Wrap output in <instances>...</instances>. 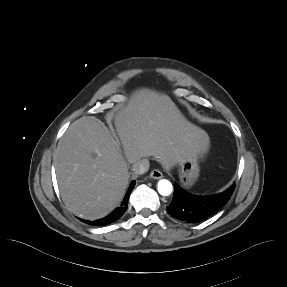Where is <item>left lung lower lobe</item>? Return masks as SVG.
<instances>
[{
  "mask_svg": "<svg viewBox=\"0 0 287 287\" xmlns=\"http://www.w3.org/2000/svg\"><path fill=\"white\" fill-rule=\"evenodd\" d=\"M234 188L235 184L217 195L196 196L175 184L173 199L167 211L178 220L190 223L200 222L221 209L230 199Z\"/></svg>",
  "mask_w": 287,
  "mask_h": 287,
  "instance_id": "0a47b994",
  "label": "left lung lower lobe"
}]
</instances>
